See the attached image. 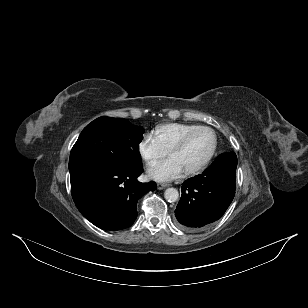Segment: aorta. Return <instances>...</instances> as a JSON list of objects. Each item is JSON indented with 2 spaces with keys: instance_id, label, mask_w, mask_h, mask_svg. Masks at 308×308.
Returning <instances> with one entry per match:
<instances>
[{
  "instance_id": "obj_1",
  "label": "aorta",
  "mask_w": 308,
  "mask_h": 308,
  "mask_svg": "<svg viewBox=\"0 0 308 308\" xmlns=\"http://www.w3.org/2000/svg\"><path fill=\"white\" fill-rule=\"evenodd\" d=\"M164 197L168 202H175L179 197L178 190L175 188H167L165 190Z\"/></svg>"
}]
</instances>
